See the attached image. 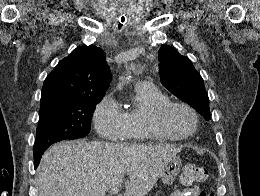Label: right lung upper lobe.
Listing matches in <instances>:
<instances>
[{
	"mask_svg": "<svg viewBox=\"0 0 260 196\" xmlns=\"http://www.w3.org/2000/svg\"><path fill=\"white\" fill-rule=\"evenodd\" d=\"M110 81L104 51L94 45L77 47L46 77L40 106L83 97H103Z\"/></svg>",
	"mask_w": 260,
	"mask_h": 196,
	"instance_id": "obj_1",
	"label": "right lung upper lobe"
}]
</instances>
